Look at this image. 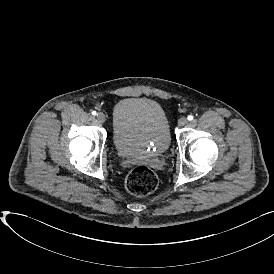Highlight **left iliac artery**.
Here are the masks:
<instances>
[{"instance_id":"44dca946","label":"left iliac artery","mask_w":274,"mask_h":274,"mask_svg":"<svg viewBox=\"0 0 274 274\" xmlns=\"http://www.w3.org/2000/svg\"><path fill=\"white\" fill-rule=\"evenodd\" d=\"M187 118H188L189 121L193 120V116L192 115H189Z\"/></svg>"}]
</instances>
